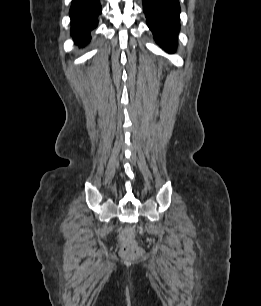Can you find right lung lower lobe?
<instances>
[{
    "label": "right lung lower lobe",
    "instance_id": "1",
    "mask_svg": "<svg viewBox=\"0 0 261 306\" xmlns=\"http://www.w3.org/2000/svg\"><path fill=\"white\" fill-rule=\"evenodd\" d=\"M101 10L99 0H72L71 35L80 46L90 41V32L96 28Z\"/></svg>",
    "mask_w": 261,
    "mask_h": 306
}]
</instances>
